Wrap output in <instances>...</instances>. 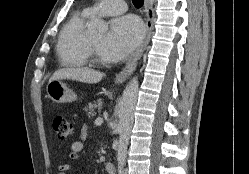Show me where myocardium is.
<instances>
[{"label": "myocardium", "instance_id": "f54148a6", "mask_svg": "<svg viewBox=\"0 0 249 174\" xmlns=\"http://www.w3.org/2000/svg\"><path fill=\"white\" fill-rule=\"evenodd\" d=\"M88 52H89L90 57L95 63L102 64V65L106 64V62L102 58H100V56L98 55L96 47L91 37L89 38V41H88Z\"/></svg>", "mask_w": 249, "mask_h": 174}]
</instances>
